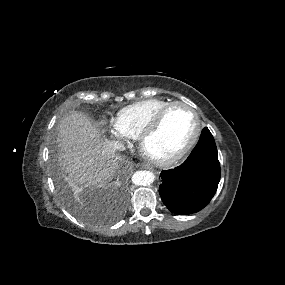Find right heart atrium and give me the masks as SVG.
I'll return each mask as SVG.
<instances>
[{"mask_svg":"<svg viewBox=\"0 0 285 285\" xmlns=\"http://www.w3.org/2000/svg\"><path fill=\"white\" fill-rule=\"evenodd\" d=\"M107 132L113 137L118 144L125 145L135 139L131 133L127 132L118 122L117 118H112L108 126L106 127Z\"/></svg>","mask_w":285,"mask_h":285,"instance_id":"d8ad5b80","label":"right heart atrium"}]
</instances>
